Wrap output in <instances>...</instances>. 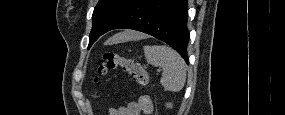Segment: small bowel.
Returning <instances> with one entry per match:
<instances>
[{
  "label": "small bowel",
  "mask_w": 285,
  "mask_h": 115,
  "mask_svg": "<svg viewBox=\"0 0 285 115\" xmlns=\"http://www.w3.org/2000/svg\"><path fill=\"white\" fill-rule=\"evenodd\" d=\"M152 112V103L148 97H142L139 101L130 102L127 106L118 109L110 108L108 115H141Z\"/></svg>",
  "instance_id": "1"
}]
</instances>
